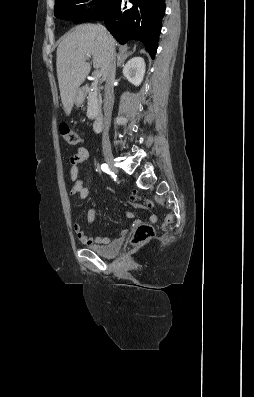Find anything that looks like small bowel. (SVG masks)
I'll return each instance as SVG.
<instances>
[{"label":"small bowel","instance_id":"c3829d8e","mask_svg":"<svg viewBox=\"0 0 254 397\" xmlns=\"http://www.w3.org/2000/svg\"><path fill=\"white\" fill-rule=\"evenodd\" d=\"M89 158V151L85 147H79L76 152L70 157V179L73 182V185L70 190L71 196H77L79 199L84 200L89 196V188L91 184V174L88 173L86 178L83 179L81 176V172L79 169V165L86 162ZM126 216L128 218H133V214L131 212H126ZM95 220V210L93 208L89 209L87 213V223L92 224ZM157 218L155 215L149 216V222H156ZM141 223L140 220L134 221V226H137ZM74 232L79 239V241L85 245L93 246V245H102L108 244L110 239L108 237H91L88 236L82 226L79 223H75L73 225ZM127 230H123L122 234H126Z\"/></svg>","mask_w":254,"mask_h":397}]
</instances>
